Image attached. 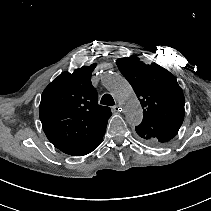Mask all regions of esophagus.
<instances>
[{
  "label": "esophagus",
  "instance_id": "obj_1",
  "mask_svg": "<svg viewBox=\"0 0 211 211\" xmlns=\"http://www.w3.org/2000/svg\"><path fill=\"white\" fill-rule=\"evenodd\" d=\"M112 109H113L114 112H121L122 111V108L119 105L113 106Z\"/></svg>",
  "mask_w": 211,
  "mask_h": 211
}]
</instances>
